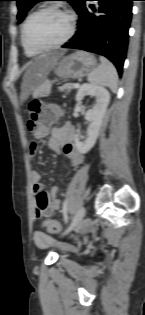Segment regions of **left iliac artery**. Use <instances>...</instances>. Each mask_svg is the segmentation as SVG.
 <instances>
[{"label":"left iliac artery","mask_w":145,"mask_h":315,"mask_svg":"<svg viewBox=\"0 0 145 315\" xmlns=\"http://www.w3.org/2000/svg\"><path fill=\"white\" fill-rule=\"evenodd\" d=\"M67 209H68V201L65 200L64 203H63V215H64L65 223H67V221H68Z\"/></svg>","instance_id":"1"}]
</instances>
